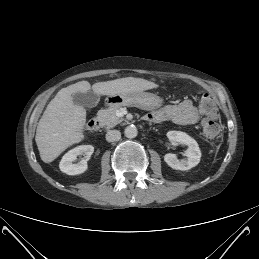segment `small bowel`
Returning a JSON list of instances; mask_svg holds the SVG:
<instances>
[{
    "instance_id": "1",
    "label": "small bowel",
    "mask_w": 259,
    "mask_h": 259,
    "mask_svg": "<svg viewBox=\"0 0 259 259\" xmlns=\"http://www.w3.org/2000/svg\"><path fill=\"white\" fill-rule=\"evenodd\" d=\"M201 115H207L200 104L197 108L192 101L183 100L145 115V120L153 123L171 121L178 125H192L199 121Z\"/></svg>"
}]
</instances>
